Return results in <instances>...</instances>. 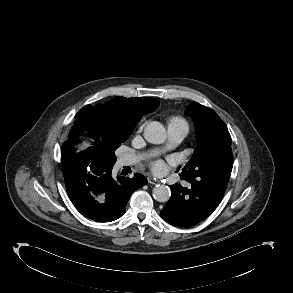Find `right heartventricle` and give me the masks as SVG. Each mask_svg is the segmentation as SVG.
Returning <instances> with one entry per match:
<instances>
[{
	"label": "right heart ventricle",
	"mask_w": 293,
	"mask_h": 293,
	"mask_svg": "<svg viewBox=\"0 0 293 293\" xmlns=\"http://www.w3.org/2000/svg\"><path fill=\"white\" fill-rule=\"evenodd\" d=\"M170 125L181 126V127L186 128L187 130L189 128L187 121L180 116L170 117L168 120V126H170Z\"/></svg>",
	"instance_id": "e07e8e85"
}]
</instances>
